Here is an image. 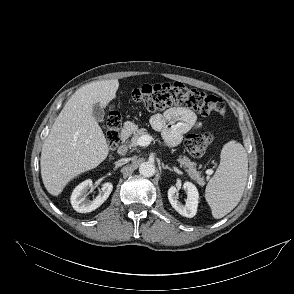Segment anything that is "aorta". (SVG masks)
I'll return each mask as SVG.
<instances>
[{"label": "aorta", "instance_id": "762f6f07", "mask_svg": "<svg viewBox=\"0 0 294 294\" xmlns=\"http://www.w3.org/2000/svg\"><path fill=\"white\" fill-rule=\"evenodd\" d=\"M139 173L144 177H152L155 174V165L151 162H143L139 166Z\"/></svg>", "mask_w": 294, "mask_h": 294}]
</instances>
